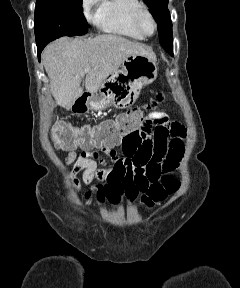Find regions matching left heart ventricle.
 <instances>
[{
  "instance_id": "b2bd125f",
  "label": "left heart ventricle",
  "mask_w": 240,
  "mask_h": 288,
  "mask_svg": "<svg viewBox=\"0 0 240 288\" xmlns=\"http://www.w3.org/2000/svg\"><path fill=\"white\" fill-rule=\"evenodd\" d=\"M140 26L142 31L145 34H151L153 32L154 29V25L152 20L150 19V17L146 14H143L140 18Z\"/></svg>"
}]
</instances>
